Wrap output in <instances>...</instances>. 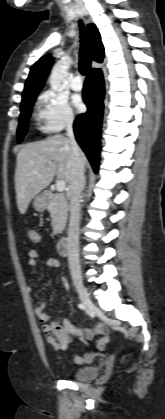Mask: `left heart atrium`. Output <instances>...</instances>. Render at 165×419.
<instances>
[{
  "label": "left heart atrium",
  "mask_w": 165,
  "mask_h": 419,
  "mask_svg": "<svg viewBox=\"0 0 165 419\" xmlns=\"http://www.w3.org/2000/svg\"><path fill=\"white\" fill-rule=\"evenodd\" d=\"M73 103L75 105V107L79 110L82 111L84 109V103L82 101V99L79 96H76L73 100Z\"/></svg>",
  "instance_id": "left-heart-atrium-1"
}]
</instances>
